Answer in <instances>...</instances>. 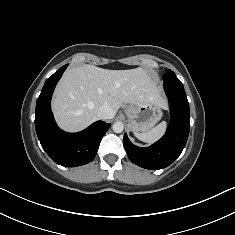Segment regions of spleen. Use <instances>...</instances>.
Listing matches in <instances>:
<instances>
[{"instance_id": "3e777b00", "label": "spleen", "mask_w": 235, "mask_h": 235, "mask_svg": "<svg viewBox=\"0 0 235 235\" xmlns=\"http://www.w3.org/2000/svg\"><path fill=\"white\" fill-rule=\"evenodd\" d=\"M166 128H167V123L163 121L147 132L134 133V134L139 140L151 144L156 142L163 136V134L166 131Z\"/></svg>"}]
</instances>
